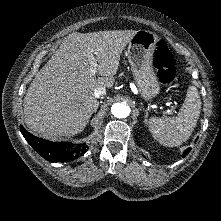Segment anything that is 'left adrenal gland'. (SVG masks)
Wrapping results in <instances>:
<instances>
[{
    "label": "left adrenal gland",
    "instance_id": "left-adrenal-gland-1",
    "mask_svg": "<svg viewBox=\"0 0 221 221\" xmlns=\"http://www.w3.org/2000/svg\"><path fill=\"white\" fill-rule=\"evenodd\" d=\"M145 112H146V115H145V120H144V122L147 124L148 111L146 110Z\"/></svg>",
    "mask_w": 221,
    "mask_h": 221
}]
</instances>
